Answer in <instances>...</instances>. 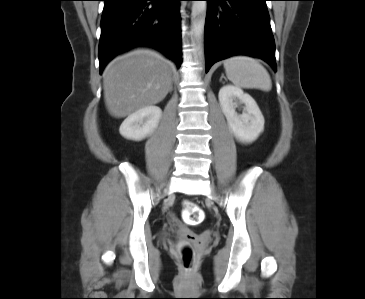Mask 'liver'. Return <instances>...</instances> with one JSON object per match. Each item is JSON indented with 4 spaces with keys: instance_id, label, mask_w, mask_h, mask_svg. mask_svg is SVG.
I'll use <instances>...</instances> for the list:
<instances>
[{
    "instance_id": "liver-1",
    "label": "liver",
    "mask_w": 365,
    "mask_h": 299,
    "mask_svg": "<svg viewBox=\"0 0 365 299\" xmlns=\"http://www.w3.org/2000/svg\"><path fill=\"white\" fill-rule=\"evenodd\" d=\"M174 65L151 49H136L111 61L104 71L109 113L123 118L161 102L172 86Z\"/></svg>"
}]
</instances>
